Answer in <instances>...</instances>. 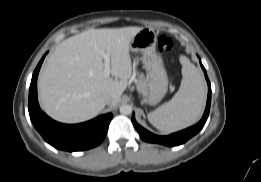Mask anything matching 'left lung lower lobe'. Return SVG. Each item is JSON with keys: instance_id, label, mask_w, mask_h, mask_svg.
<instances>
[{"instance_id": "1", "label": "left lung lower lobe", "mask_w": 261, "mask_h": 182, "mask_svg": "<svg viewBox=\"0 0 261 182\" xmlns=\"http://www.w3.org/2000/svg\"><path fill=\"white\" fill-rule=\"evenodd\" d=\"M200 65L204 71L205 78H206L207 84H208L207 104H206V109H205L202 119L196 125H194L190 128H187L183 131L173 133L168 136H159V135H155V134L147 131L143 127H141L136 122L135 117L133 115L132 123H133L134 127L136 128V130L138 131L140 137L144 141L150 142V143H158V144H162V145H166V146H176V145L185 143L188 139H190L191 137L196 135L203 128V126L208 118L210 105H211V85H210L209 79L207 77L206 70L203 67V65L201 64V61H200Z\"/></svg>"}]
</instances>
